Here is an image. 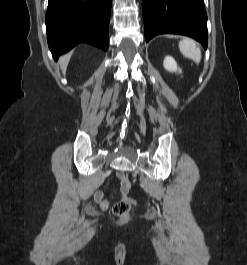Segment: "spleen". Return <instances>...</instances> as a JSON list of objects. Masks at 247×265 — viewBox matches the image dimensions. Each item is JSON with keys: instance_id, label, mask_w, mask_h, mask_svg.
Masks as SVG:
<instances>
[{"instance_id": "1", "label": "spleen", "mask_w": 247, "mask_h": 265, "mask_svg": "<svg viewBox=\"0 0 247 265\" xmlns=\"http://www.w3.org/2000/svg\"><path fill=\"white\" fill-rule=\"evenodd\" d=\"M179 49L185 57L192 59L195 63L199 64L201 61V51L192 39H182L179 42Z\"/></svg>"}]
</instances>
